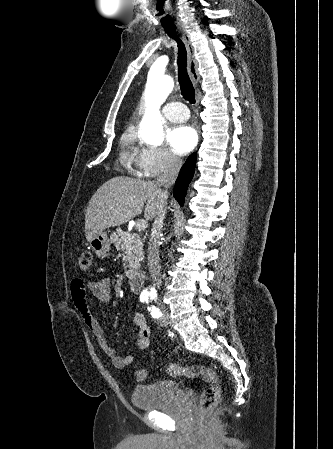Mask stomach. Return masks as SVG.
I'll list each match as a JSON object with an SVG mask.
<instances>
[{
  "mask_svg": "<svg viewBox=\"0 0 333 449\" xmlns=\"http://www.w3.org/2000/svg\"><path fill=\"white\" fill-rule=\"evenodd\" d=\"M90 246L97 256H103L110 250V240L107 232H99L91 241Z\"/></svg>",
  "mask_w": 333,
  "mask_h": 449,
  "instance_id": "1",
  "label": "stomach"
}]
</instances>
